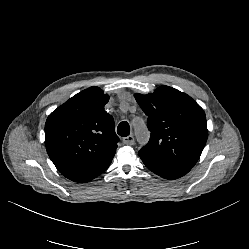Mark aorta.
Wrapping results in <instances>:
<instances>
[{"label":"aorta","mask_w":249,"mask_h":249,"mask_svg":"<svg viewBox=\"0 0 249 249\" xmlns=\"http://www.w3.org/2000/svg\"><path fill=\"white\" fill-rule=\"evenodd\" d=\"M135 133L139 143H145L148 140V132L145 125L141 124L135 126Z\"/></svg>","instance_id":"obj_1"}]
</instances>
